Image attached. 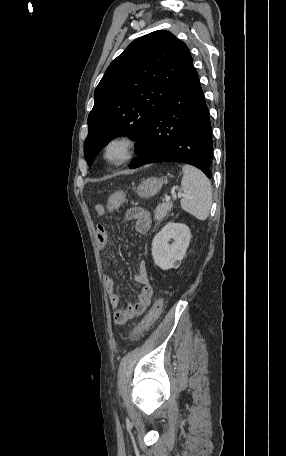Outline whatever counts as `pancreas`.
Segmentation results:
<instances>
[{
  "label": "pancreas",
  "instance_id": "pancreas-1",
  "mask_svg": "<svg viewBox=\"0 0 286 456\" xmlns=\"http://www.w3.org/2000/svg\"><path fill=\"white\" fill-rule=\"evenodd\" d=\"M173 207L172 202H164L157 206L154 211V217L157 221H162Z\"/></svg>",
  "mask_w": 286,
  "mask_h": 456
}]
</instances>
